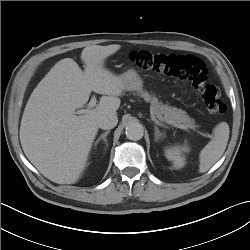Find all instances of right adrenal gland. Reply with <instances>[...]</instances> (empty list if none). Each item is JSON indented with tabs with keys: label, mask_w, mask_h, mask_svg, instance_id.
Returning a JSON list of instances; mask_svg holds the SVG:
<instances>
[{
	"label": "right adrenal gland",
	"mask_w": 250,
	"mask_h": 250,
	"mask_svg": "<svg viewBox=\"0 0 250 250\" xmlns=\"http://www.w3.org/2000/svg\"><path fill=\"white\" fill-rule=\"evenodd\" d=\"M109 133H110V131H106L105 133L101 134L100 137L96 140L95 145H97L101 140H103L105 142V144L108 145L106 137Z\"/></svg>",
	"instance_id": "2a0ac1e0"
}]
</instances>
